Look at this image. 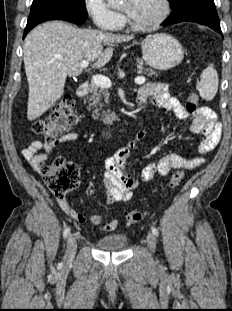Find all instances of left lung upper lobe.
Returning <instances> with one entry per match:
<instances>
[{
  "instance_id": "left-lung-upper-lobe-1",
  "label": "left lung upper lobe",
  "mask_w": 232,
  "mask_h": 311,
  "mask_svg": "<svg viewBox=\"0 0 232 311\" xmlns=\"http://www.w3.org/2000/svg\"><path fill=\"white\" fill-rule=\"evenodd\" d=\"M171 4V8L174 7L181 0H168Z\"/></svg>"
}]
</instances>
